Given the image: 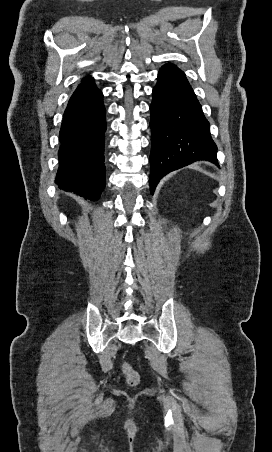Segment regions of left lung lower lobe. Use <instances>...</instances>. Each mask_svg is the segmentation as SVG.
<instances>
[{
	"label": "left lung lower lobe",
	"instance_id": "0a47b994",
	"mask_svg": "<svg viewBox=\"0 0 272 452\" xmlns=\"http://www.w3.org/2000/svg\"><path fill=\"white\" fill-rule=\"evenodd\" d=\"M152 95L151 194L159 180L171 171L197 160L217 165V147L209 122L184 72L173 64L164 65Z\"/></svg>",
	"mask_w": 272,
	"mask_h": 452
}]
</instances>
